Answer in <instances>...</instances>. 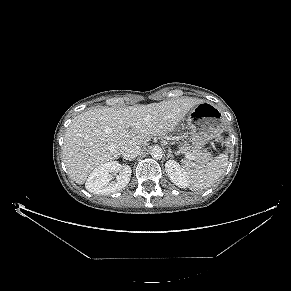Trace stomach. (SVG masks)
Instances as JSON below:
<instances>
[{
    "label": "stomach",
    "mask_w": 291,
    "mask_h": 291,
    "mask_svg": "<svg viewBox=\"0 0 291 291\" xmlns=\"http://www.w3.org/2000/svg\"><path fill=\"white\" fill-rule=\"evenodd\" d=\"M187 124L190 129V142L193 147H203L224 130V118L212 103L196 105L188 114Z\"/></svg>",
    "instance_id": "obj_1"
}]
</instances>
